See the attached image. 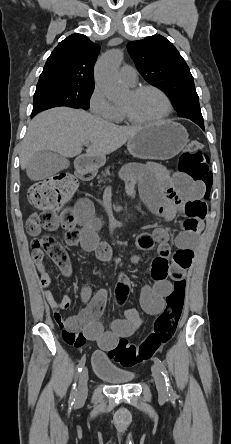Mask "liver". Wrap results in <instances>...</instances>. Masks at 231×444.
<instances>
[{
  "label": "liver",
  "mask_w": 231,
  "mask_h": 444,
  "mask_svg": "<svg viewBox=\"0 0 231 444\" xmlns=\"http://www.w3.org/2000/svg\"><path fill=\"white\" fill-rule=\"evenodd\" d=\"M143 127L117 126L83 110L57 107L36 115L21 144L20 164L25 169L39 151H52L70 158L81 154L85 141L90 143L86 156L110 154Z\"/></svg>",
  "instance_id": "1"
}]
</instances>
